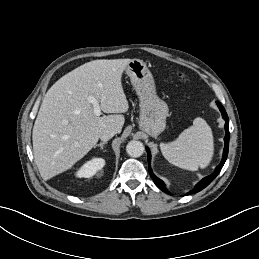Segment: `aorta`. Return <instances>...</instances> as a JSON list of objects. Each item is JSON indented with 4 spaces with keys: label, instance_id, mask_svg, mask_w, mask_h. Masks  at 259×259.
I'll return each instance as SVG.
<instances>
[{
    "label": "aorta",
    "instance_id": "aorta-1",
    "mask_svg": "<svg viewBox=\"0 0 259 259\" xmlns=\"http://www.w3.org/2000/svg\"><path fill=\"white\" fill-rule=\"evenodd\" d=\"M126 152L131 157H140L144 153V145L140 141L132 140L127 144Z\"/></svg>",
    "mask_w": 259,
    "mask_h": 259
}]
</instances>
